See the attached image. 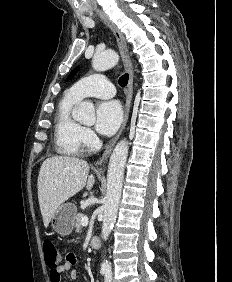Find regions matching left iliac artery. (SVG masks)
<instances>
[{
    "label": "left iliac artery",
    "mask_w": 232,
    "mask_h": 282,
    "mask_svg": "<svg viewBox=\"0 0 232 282\" xmlns=\"http://www.w3.org/2000/svg\"><path fill=\"white\" fill-rule=\"evenodd\" d=\"M104 282H112V275L110 273L105 274Z\"/></svg>",
    "instance_id": "1"
}]
</instances>
